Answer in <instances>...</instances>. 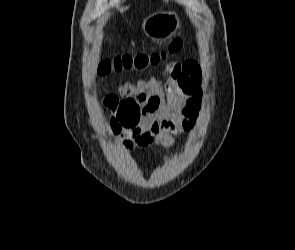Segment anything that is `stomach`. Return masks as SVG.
Returning <instances> with one entry per match:
<instances>
[{"mask_svg":"<svg viewBox=\"0 0 295 250\" xmlns=\"http://www.w3.org/2000/svg\"><path fill=\"white\" fill-rule=\"evenodd\" d=\"M180 26V21L174 12H158L150 15L143 23L144 32L156 39L172 36Z\"/></svg>","mask_w":295,"mask_h":250,"instance_id":"stomach-1","label":"stomach"}]
</instances>
